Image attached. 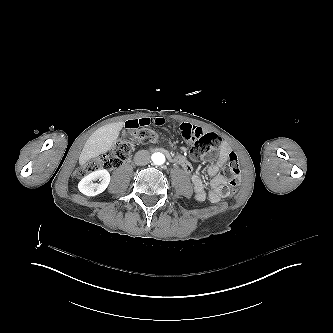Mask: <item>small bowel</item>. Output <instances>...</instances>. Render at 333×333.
<instances>
[{"label":"small bowel","mask_w":333,"mask_h":333,"mask_svg":"<svg viewBox=\"0 0 333 333\" xmlns=\"http://www.w3.org/2000/svg\"><path fill=\"white\" fill-rule=\"evenodd\" d=\"M167 121L163 117H142L138 119H126L125 125L130 126L131 129H136L137 127L154 125L163 126ZM170 125H174L173 122H169ZM181 130H187L194 133H202L201 129L193 127L188 123L178 122L177 124ZM153 147L156 145L154 142L151 144ZM160 148L162 145L158 143L156 145ZM147 149L150 147L148 144L145 146ZM229 149L226 144H222L218 153L216 162L210 164L207 167V173L210 176V181L208 188L205 187L201 177L198 174L192 176V183L194 187L195 199L197 201H204L208 199L211 203H219L224 197L229 194V187L226 178L220 173L221 169L224 167L225 163L229 159ZM171 158L174 159V163L180 165L185 172H190L192 166L186 157L182 154H173Z\"/></svg>","instance_id":"c3829d8e"}]
</instances>
